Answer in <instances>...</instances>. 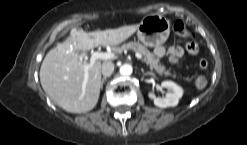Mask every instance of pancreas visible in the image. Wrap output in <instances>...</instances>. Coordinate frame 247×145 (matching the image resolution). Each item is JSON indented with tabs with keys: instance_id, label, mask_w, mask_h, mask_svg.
Segmentation results:
<instances>
[{
	"instance_id": "cf45deb5",
	"label": "pancreas",
	"mask_w": 247,
	"mask_h": 145,
	"mask_svg": "<svg viewBox=\"0 0 247 145\" xmlns=\"http://www.w3.org/2000/svg\"><path fill=\"white\" fill-rule=\"evenodd\" d=\"M125 50H133L139 52L143 56V60L149 65L151 70H154L159 75L170 76L172 75L170 70H166L165 66L160 63L159 59L155 57L145 46L138 42H128L120 47L114 48L116 53H122ZM175 76V75H173Z\"/></svg>"
}]
</instances>
